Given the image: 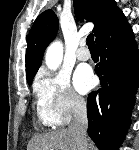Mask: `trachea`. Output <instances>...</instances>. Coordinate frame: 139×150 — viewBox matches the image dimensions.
Listing matches in <instances>:
<instances>
[{
    "label": "trachea",
    "instance_id": "obj_1",
    "mask_svg": "<svg viewBox=\"0 0 139 150\" xmlns=\"http://www.w3.org/2000/svg\"><path fill=\"white\" fill-rule=\"evenodd\" d=\"M87 45L89 47V49H94L96 48L95 42H94V36L93 34H89L87 36Z\"/></svg>",
    "mask_w": 139,
    "mask_h": 150
}]
</instances>
